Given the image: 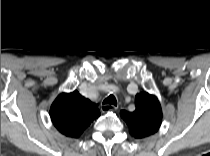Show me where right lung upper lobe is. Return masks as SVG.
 I'll return each instance as SVG.
<instances>
[{"instance_id": "right-lung-upper-lobe-1", "label": "right lung upper lobe", "mask_w": 210, "mask_h": 156, "mask_svg": "<svg viewBox=\"0 0 210 156\" xmlns=\"http://www.w3.org/2000/svg\"><path fill=\"white\" fill-rule=\"evenodd\" d=\"M99 116L98 105L78 91L60 94L50 109V117L57 130L72 138H78Z\"/></svg>"}]
</instances>
